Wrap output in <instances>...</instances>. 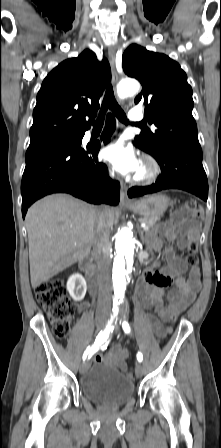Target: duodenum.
<instances>
[{
  "mask_svg": "<svg viewBox=\"0 0 221 448\" xmlns=\"http://www.w3.org/2000/svg\"><path fill=\"white\" fill-rule=\"evenodd\" d=\"M80 268L82 271H84L89 276L88 284H89L90 293H95L96 287H97V280L94 277V268L91 265V261L88 257L83 258L80 261Z\"/></svg>",
  "mask_w": 221,
  "mask_h": 448,
  "instance_id": "410a0bca",
  "label": "duodenum"
}]
</instances>
